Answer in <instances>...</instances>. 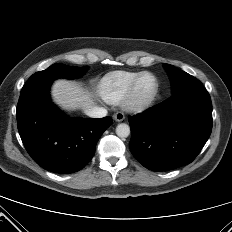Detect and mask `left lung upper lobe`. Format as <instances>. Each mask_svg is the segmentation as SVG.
Returning <instances> with one entry per match:
<instances>
[{
  "mask_svg": "<svg viewBox=\"0 0 232 232\" xmlns=\"http://www.w3.org/2000/svg\"><path fill=\"white\" fill-rule=\"evenodd\" d=\"M172 84V94H175L185 88L202 84L198 79L190 74L172 66L164 64Z\"/></svg>",
  "mask_w": 232,
  "mask_h": 232,
  "instance_id": "obj_1",
  "label": "left lung upper lobe"
}]
</instances>
